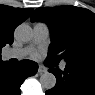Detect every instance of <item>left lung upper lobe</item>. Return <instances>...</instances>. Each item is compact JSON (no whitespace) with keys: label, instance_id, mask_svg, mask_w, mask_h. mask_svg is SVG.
<instances>
[{"label":"left lung upper lobe","instance_id":"left-lung-upper-lobe-1","mask_svg":"<svg viewBox=\"0 0 95 95\" xmlns=\"http://www.w3.org/2000/svg\"><path fill=\"white\" fill-rule=\"evenodd\" d=\"M49 25L52 43L47 60L95 68V14L75 6L37 8L31 21Z\"/></svg>","mask_w":95,"mask_h":95}]
</instances>
